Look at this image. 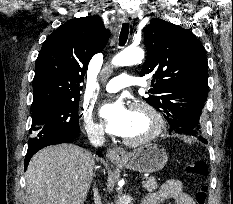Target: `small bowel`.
<instances>
[{"label": "small bowel", "mask_w": 233, "mask_h": 204, "mask_svg": "<svg viewBox=\"0 0 233 204\" xmlns=\"http://www.w3.org/2000/svg\"><path fill=\"white\" fill-rule=\"evenodd\" d=\"M171 200L174 204H195L190 195L183 190V185L179 180H168L161 188L152 194H149L143 204H160Z\"/></svg>", "instance_id": "obj_1"}]
</instances>
